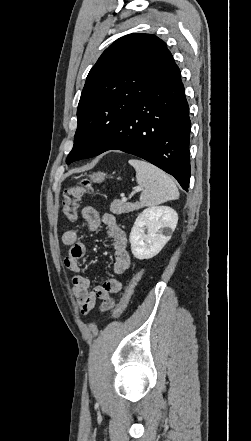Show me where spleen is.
Wrapping results in <instances>:
<instances>
[{"instance_id": "1", "label": "spleen", "mask_w": 251, "mask_h": 441, "mask_svg": "<svg viewBox=\"0 0 251 441\" xmlns=\"http://www.w3.org/2000/svg\"><path fill=\"white\" fill-rule=\"evenodd\" d=\"M128 163L135 168L136 181L143 187L142 206H155L179 198L175 183L164 171L139 159H130Z\"/></svg>"}]
</instances>
